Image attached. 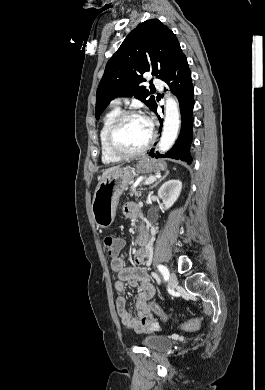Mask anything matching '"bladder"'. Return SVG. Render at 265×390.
<instances>
[{
  "instance_id": "31cf9c89",
  "label": "bladder",
  "mask_w": 265,
  "mask_h": 390,
  "mask_svg": "<svg viewBox=\"0 0 265 390\" xmlns=\"http://www.w3.org/2000/svg\"><path fill=\"white\" fill-rule=\"evenodd\" d=\"M142 343L154 351H163L172 346V341L169 338L159 335H147L142 338Z\"/></svg>"
}]
</instances>
